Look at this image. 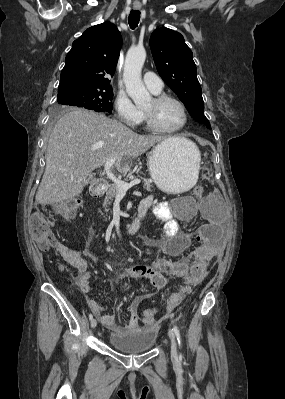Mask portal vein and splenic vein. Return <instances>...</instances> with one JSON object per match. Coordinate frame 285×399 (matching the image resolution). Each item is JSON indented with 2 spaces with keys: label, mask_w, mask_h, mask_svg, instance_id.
Returning a JSON list of instances; mask_svg holds the SVG:
<instances>
[{
  "label": "portal vein and splenic vein",
  "mask_w": 285,
  "mask_h": 399,
  "mask_svg": "<svg viewBox=\"0 0 285 399\" xmlns=\"http://www.w3.org/2000/svg\"><path fill=\"white\" fill-rule=\"evenodd\" d=\"M115 160H116L115 158H111L106 161V163L104 164V172L107 178L110 179L114 183V185H116L119 193H126L132 186L138 185L141 182V180L134 179L130 183H127L118 179L111 171V168L115 163Z\"/></svg>",
  "instance_id": "1"
}]
</instances>
